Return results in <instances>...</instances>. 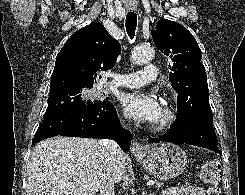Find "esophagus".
<instances>
[{
	"label": "esophagus",
	"mask_w": 245,
	"mask_h": 195,
	"mask_svg": "<svg viewBox=\"0 0 245 195\" xmlns=\"http://www.w3.org/2000/svg\"><path fill=\"white\" fill-rule=\"evenodd\" d=\"M130 10H134L136 9L135 6L133 7H130L129 8ZM131 152L136 155V154H140L142 152V146L138 143V142H134L133 145H132V148H131Z\"/></svg>",
	"instance_id": "1"
}]
</instances>
